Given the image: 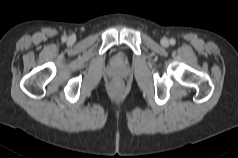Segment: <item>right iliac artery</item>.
Returning a JSON list of instances; mask_svg holds the SVG:
<instances>
[{
  "mask_svg": "<svg viewBox=\"0 0 238 158\" xmlns=\"http://www.w3.org/2000/svg\"><path fill=\"white\" fill-rule=\"evenodd\" d=\"M67 40V38L64 36V37H62V41H66Z\"/></svg>",
  "mask_w": 238,
  "mask_h": 158,
  "instance_id": "1",
  "label": "right iliac artery"
}]
</instances>
